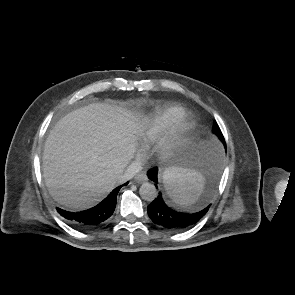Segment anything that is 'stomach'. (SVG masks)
I'll return each mask as SVG.
<instances>
[{"label":"stomach","instance_id":"obj_1","mask_svg":"<svg viewBox=\"0 0 295 295\" xmlns=\"http://www.w3.org/2000/svg\"><path fill=\"white\" fill-rule=\"evenodd\" d=\"M205 149L201 143L189 144L183 152L174 158L168 165L169 168L193 170L202 173L206 166Z\"/></svg>","mask_w":295,"mask_h":295}]
</instances>
